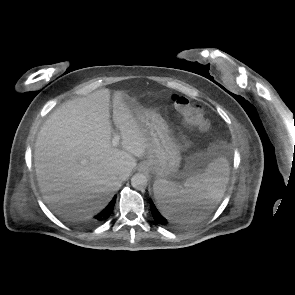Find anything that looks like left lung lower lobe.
Instances as JSON below:
<instances>
[{"instance_id":"1","label":"left lung lower lobe","mask_w":295,"mask_h":295,"mask_svg":"<svg viewBox=\"0 0 295 295\" xmlns=\"http://www.w3.org/2000/svg\"><path fill=\"white\" fill-rule=\"evenodd\" d=\"M150 208H151V212H152V215H153L154 219L159 224L166 225L168 223L165 216L158 211V209L156 208V206L154 205L152 200H150ZM193 212H194V209H193ZM194 213L196 214V212H194Z\"/></svg>"}]
</instances>
